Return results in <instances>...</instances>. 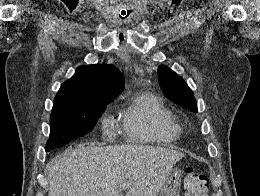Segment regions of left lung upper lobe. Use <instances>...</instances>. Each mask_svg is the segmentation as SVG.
Masks as SVG:
<instances>
[{"label": "left lung upper lobe", "mask_w": 260, "mask_h": 196, "mask_svg": "<svg viewBox=\"0 0 260 196\" xmlns=\"http://www.w3.org/2000/svg\"><path fill=\"white\" fill-rule=\"evenodd\" d=\"M158 81L167 98L184 108L197 112V104L192 90L175 72L163 65L159 66Z\"/></svg>", "instance_id": "left-lung-upper-lobe-1"}]
</instances>
